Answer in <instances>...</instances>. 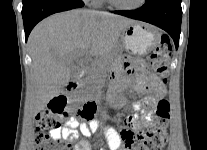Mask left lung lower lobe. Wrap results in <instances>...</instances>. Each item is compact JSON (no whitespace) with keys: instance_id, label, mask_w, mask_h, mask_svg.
<instances>
[{"instance_id":"obj_1","label":"left lung lower lobe","mask_w":207,"mask_h":150,"mask_svg":"<svg viewBox=\"0 0 207 150\" xmlns=\"http://www.w3.org/2000/svg\"><path fill=\"white\" fill-rule=\"evenodd\" d=\"M114 13L162 28L169 33L176 49L178 48L182 20L181 0H150L137 10L114 11Z\"/></svg>"}]
</instances>
